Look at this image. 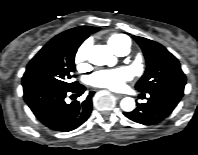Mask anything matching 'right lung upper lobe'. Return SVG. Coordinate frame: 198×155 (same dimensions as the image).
Returning <instances> with one entry per match:
<instances>
[{"mask_svg": "<svg viewBox=\"0 0 198 155\" xmlns=\"http://www.w3.org/2000/svg\"><path fill=\"white\" fill-rule=\"evenodd\" d=\"M98 30V27L80 26L58 34L52 39V41H60L74 38L85 40L89 36V34L96 32Z\"/></svg>", "mask_w": 198, "mask_h": 155, "instance_id": "obj_1", "label": "right lung upper lobe"}]
</instances>
